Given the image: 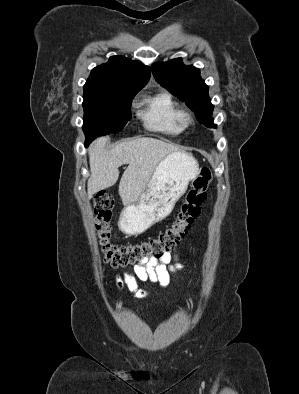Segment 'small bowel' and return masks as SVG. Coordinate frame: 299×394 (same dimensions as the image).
Returning <instances> with one entry per match:
<instances>
[{
	"label": "small bowel",
	"instance_id": "small-bowel-1",
	"mask_svg": "<svg viewBox=\"0 0 299 394\" xmlns=\"http://www.w3.org/2000/svg\"><path fill=\"white\" fill-rule=\"evenodd\" d=\"M182 265L178 261L177 254L165 255L161 259H149L133 266V272L124 271L115 278L116 287L119 290L124 288L132 292L136 297L143 298L148 295L144 289L138 286V280L158 283L166 288L171 279V275L180 270Z\"/></svg>",
	"mask_w": 299,
	"mask_h": 394
}]
</instances>
